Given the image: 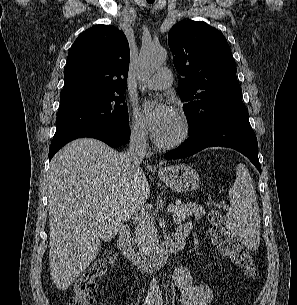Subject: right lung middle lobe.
<instances>
[{"label": "right lung middle lobe", "instance_id": "dd1d6c3e", "mask_svg": "<svg viewBox=\"0 0 297 305\" xmlns=\"http://www.w3.org/2000/svg\"><path fill=\"white\" fill-rule=\"evenodd\" d=\"M124 93L125 90L88 93L60 100L51 146H56L70 135L87 128L128 126Z\"/></svg>", "mask_w": 297, "mask_h": 305}]
</instances>
